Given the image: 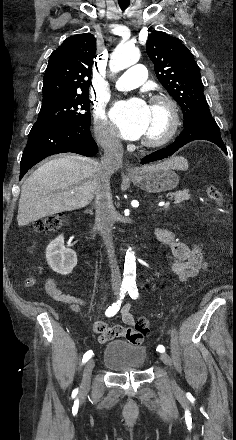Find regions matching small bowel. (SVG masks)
<instances>
[{
    "label": "small bowel",
    "mask_w": 236,
    "mask_h": 440,
    "mask_svg": "<svg viewBox=\"0 0 236 440\" xmlns=\"http://www.w3.org/2000/svg\"><path fill=\"white\" fill-rule=\"evenodd\" d=\"M156 238L166 244L174 257L171 264L172 272L182 282L199 276L208 268V262L204 258L199 247H190L178 241L175 236L167 230H156ZM45 289L48 295L54 300L69 305L74 311L78 312L85 304L83 299L63 293L56 285L53 278H48L45 282ZM121 317L124 324H107L104 321L94 323L95 331L99 334L100 342H106L114 337L122 339H139L140 331L134 330L135 319L131 312V304L127 303L121 309ZM142 340L134 343H141Z\"/></svg>",
    "instance_id": "obj_1"
}]
</instances>
